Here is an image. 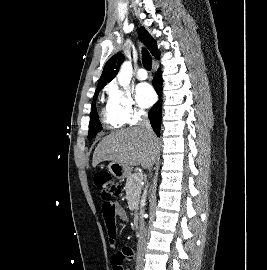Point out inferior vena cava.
Wrapping results in <instances>:
<instances>
[{"label": "inferior vena cava", "mask_w": 267, "mask_h": 270, "mask_svg": "<svg viewBox=\"0 0 267 270\" xmlns=\"http://www.w3.org/2000/svg\"><path fill=\"white\" fill-rule=\"evenodd\" d=\"M138 127L143 129L148 135L152 136L153 130L150 125L148 116L145 112L141 113V118L138 123ZM147 195V189L144 190L143 193V199L146 198ZM144 208H140V225H139V235H138V245H137V258L136 262L138 266H141L143 264L144 260V250L146 248V236H147V230L144 223Z\"/></svg>", "instance_id": "obj_1"}]
</instances>
